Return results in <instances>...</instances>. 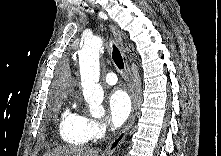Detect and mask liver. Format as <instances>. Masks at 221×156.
I'll use <instances>...</instances> for the list:
<instances>
[{
    "instance_id": "liver-1",
    "label": "liver",
    "mask_w": 221,
    "mask_h": 156,
    "mask_svg": "<svg viewBox=\"0 0 221 156\" xmlns=\"http://www.w3.org/2000/svg\"><path fill=\"white\" fill-rule=\"evenodd\" d=\"M98 150L80 147H58L47 151L44 156H98Z\"/></svg>"
}]
</instances>
